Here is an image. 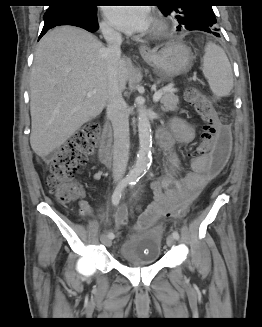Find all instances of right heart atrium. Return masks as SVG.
I'll return each mask as SVG.
<instances>
[{
	"label": "right heart atrium",
	"instance_id": "right-heart-atrium-1",
	"mask_svg": "<svg viewBox=\"0 0 262 327\" xmlns=\"http://www.w3.org/2000/svg\"><path fill=\"white\" fill-rule=\"evenodd\" d=\"M100 28L105 36L108 37L118 36V32L116 31V29L107 20H103L101 22Z\"/></svg>",
	"mask_w": 262,
	"mask_h": 327
}]
</instances>
